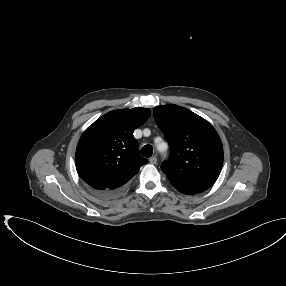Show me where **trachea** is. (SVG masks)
<instances>
[{
    "label": "trachea",
    "instance_id": "trachea-1",
    "mask_svg": "<svg viewBox=\"0 0 286 286\" xmlns=\"http://www.w3.org/2000/svg\"><path fill=\"white\" fill-rule=\"evenodd\" d=\"M153 153V148L151 145H144L141 149V154L144 157H151Z\"/></svg>",
    "mask_w": 286,
    "mask_h": 286
}]
</instances>
